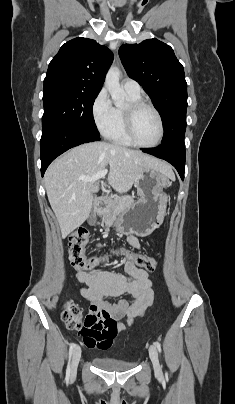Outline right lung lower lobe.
I'll return each mask as SVG.
<instances>
[{
    "label": "right lung lower lobe",
    "mask_w": 235,
    "mask_h": 404,
    "mask_svg": "<svg viewBox=\"0 0 235 404\" xmlns=\"http://www.w3.org/2000/svg\"><path fill=\"white\" fill-rule=\"evenodd\" d=\"M98 140L99 135L70 126L43 131L40 141L42 176L49 164L60 154L74 146Z\"/></svg>",
    "instance_id": "1"
}]
</instances>
